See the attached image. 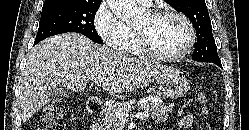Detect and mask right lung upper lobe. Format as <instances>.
I'll return each mask as SVG.
<instances>
[{
	"instance_id": "1",
	"label": "right lung upper lobe",
	"mask_w": 249,
	"mask_h": 130,
	"mask_svg": "<svg viewBox=\"0 0 249 130\" xmlns=\"http://www.w3.org/2000/svg\"><path fill=\"white\" fill-rule=\"evenodd\" d=\"M56 1H60V0H46L44 2V4H49V3H53V2H56ZM71 1H81V2H101L102 0H71ZM43 4V5H44Z\"/></svg>"
}]
</instances>
